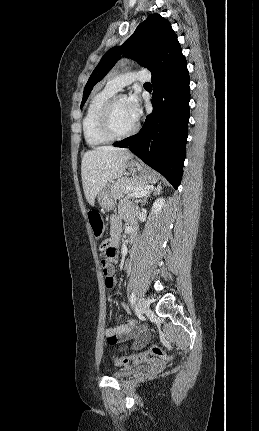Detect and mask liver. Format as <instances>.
Segmentation results:
<instances>
[{
  "mask_svg": "<svg viewBox=\"0 0 259 431\" xmlns=\"http://www.w3.org/2000/svg\"><path fill=\"white\" fill-rule=\"evenodd\" d=\"M133 158L123 148L101 146L87 151L81 163L82 185L86 200L94 206L95 198L109 182L120 178Z\"/></svg>",
  "mask_w": 259,
  "mask_h": 431,
  "instance_id": "6515ba94",
  "label": "liver"
}]
</instances>
